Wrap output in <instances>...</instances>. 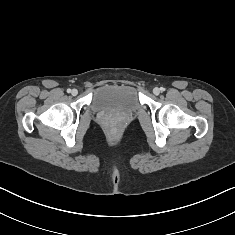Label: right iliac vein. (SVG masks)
Instances as JSON below:
<instances>
[{
    "label": "right iliac vein",
    "instance_id": "obj_1",
    "mask_svg": "<svg viewBox=\"0 0 235 235\" xmlns=\"http://www.w3.org/2000/svg\"><path fill=\"white\" fill-rule=\"evenodd\" d=\"M71 94H72L73 96H76V95L78 94V90H77V89H73V90L71 91Z\"/></svg>",
    "mask_w": 235,
    "mask_h": 235
}]
</instances>
